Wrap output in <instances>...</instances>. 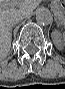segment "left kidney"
I'll list each match as a JSON object with an SVG mask.
<instances>
[{"label": "left kidney", "mask_w": 65, "mask_h": 89, "mask_svg": "<svg viewBox=\"0 0 65 89\" xmlns=\"http://www.w3.org/2000/svg\"><path fill=\"white\" fill-rule=\"evenodd\" d=\"M52 39H53V42H54L55 46L58 49H62L63 48V38H62V35H60L59 33H56V34H54Z\"/></svg>", "instance_id": "1"}]
</instances>
